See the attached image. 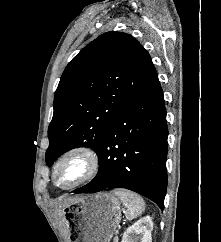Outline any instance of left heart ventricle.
<instances>
[{"instance_id": "b2bd125f", "label": "left heart ventricle", "mask_w": 221, "mask_h": 242, "mask_svg": "<svg viewBox=\"0 0 221 242\" xmlns=\"http://www.w3.org/2000/svg\"><path fill=\"white\" fill-rule=\"evenodd\" d=\"M83 169V160L79 157H71L60 166L56 175V181L62 186L69 185L82 174Z\"/></svg>"}]
</instances>
